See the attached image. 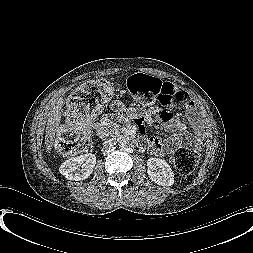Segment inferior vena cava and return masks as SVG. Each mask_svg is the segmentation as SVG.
I'll list each match as a JSON object with an SVG mask.
<instances>
[{
  "label": "inferior vena cava",
  "mask_w": 253,
  "mask_h": 253,
  "mask_svg": "<svg viewBox=\"0 0 253 253\" xmlns=\"http://www.w3.org/2000/svg\"><path fill=\"white\" fill-rule=\"evenodd\" d=\"M112 150H113V149L109 148V149L105 150V152L108 153V152H110V151H112Z\"/></svg>",
  "instance_id": "inferior-vena-cava-1"
}]
</instances>
